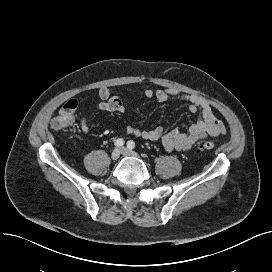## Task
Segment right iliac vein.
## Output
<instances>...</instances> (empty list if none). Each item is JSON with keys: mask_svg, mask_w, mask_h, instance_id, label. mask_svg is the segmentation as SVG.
<instances>
[{"mask_svg": "<svg viewBox=\"0 0 272 272\" xmlns=\"http://www.w3.org/2000/svg\"><path fill=\"white\" fill-rule=\"evenodd\" d=\"M121 151L118 148H115L111 153V159L116 161L120 157Z\"/></svg>", "mask_w": 272, "mask_h": 272, "instance_id": "63e3f726", "label": "right iliac vein"}]
</instances>
